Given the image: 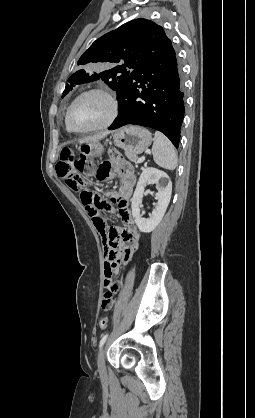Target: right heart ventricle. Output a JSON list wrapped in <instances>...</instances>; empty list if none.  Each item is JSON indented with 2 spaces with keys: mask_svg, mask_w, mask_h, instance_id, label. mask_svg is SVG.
<instances>
[{
  "mask_svg": "<svg viewBox=\"0 0 255 418\" xmlns=\"http://www.w3.org/2000/svg\"><path fill=\"white\" fill-rule=\"evenodd\" d=\"M66 129H67V131H70L67 126H66Z\"/></svg>",
  "mask_w": 255,
  "mask_h": 418,
  "instance_id": "obj_1",
  "label": "right heart ventricle"
}]
</instances>
